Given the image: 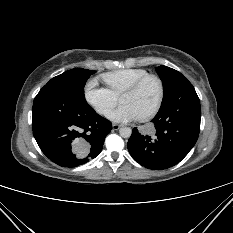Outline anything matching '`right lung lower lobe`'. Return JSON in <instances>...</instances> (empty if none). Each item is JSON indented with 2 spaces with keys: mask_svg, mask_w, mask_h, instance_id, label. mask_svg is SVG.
<instances>
[{
  "mask_svg": "<svg viewBox=\"0 0 233 233\" xmlns=\"http://www.w3.org/2000/svg\"><path fill=\"white\" fill-rule=\"evenodd\" d=\"M32 111L33 135L41 151L62 167H77L95 158L112 129L111 122L85 99L57 86L45 85Z\"/></svg>",
  "mask_w": 233,
  "mask_h": 233,
  "instance_id": "1",
  "label": "right lung lower lobe"
}]
</instances>
